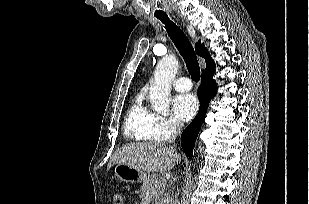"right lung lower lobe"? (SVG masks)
Listing matches in <instances>:
<instances>
[{
  "mask_svg": "<svg viewBox=\"0 0 309 204\" xmlns=\"http://www.w3.org/2000/svg\"><path fill=\"white\" fill-rule=\"evenodd\" d=\"M215 72V67L205 70L202 72L201 85L198 89L200 108L195 119L190 123V125L183 131L181 135V145L186 153V155L192 158V150L200 131L201 125L204 121L207 108L209 106V101L214 97L217 87L215 81L213 80V74Z\"/></svg>",
  "mask_w": 309,
  "mask_h": 204,
  "instance_id": "obj_1",
  "label": "right lung lower lobe"
}]
</instances>
